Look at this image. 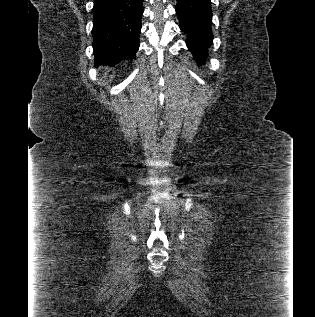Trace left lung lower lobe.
<instances>
[{
    "label": "left lung lower lobe",
    "mask_w": 315,
    "mask_h": 317,
    "mask_svg": "<svg viewBox=\"0 0 315 317\" xmlns=\"http://www.w3.org/2000/svg\"><path fill=\"white\" fill-rule=\"evenodd\" d=\"M176 12L180 21L179 27L187 36L188 49L196 62L203 64L213 40L211 1L177 0Z\"/></svg>",
    "instance_id": "left-lung-lower-lobe-1"
}]
</instances>
